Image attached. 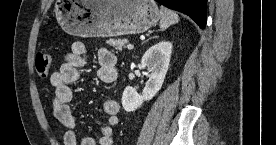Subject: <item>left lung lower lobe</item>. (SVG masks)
Masks as SVG:
<instances>
[{"label": "left lung lower lobe", "instance_id": "obj_1", "mask_svg": "<svg viewBox=\"0 0 276 145\" xmlns=\"http://www.w3.org/2000/svg\"><path fill=\"white\" fill-rule=\"evenodd\" d=\"M166 7L191 17L200 28L206 25L207 0H156Z\"/></svg>", "mask_w": 276, "mask_h": 145}]
</instances>
